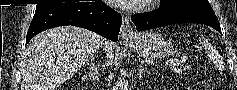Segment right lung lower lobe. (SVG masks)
Segmentation results:
<instances>
[{"instance_id":"obj_1","label":"right lung lower lobe","mask_w":237,"mask_h":90,"mask_svg":"<svg viewBox=\"0 0 237 90\" xmlns=\"http://www.w3.org/2000/svg\"><path fill=\"white\" fill-rule=\"evenodd\" d=\"M121 23V15L102 1L47 4L36 8L27 32L26 44L36 34L64 25L82 27L117 41Z\"/></svg>"}]
</instances>
